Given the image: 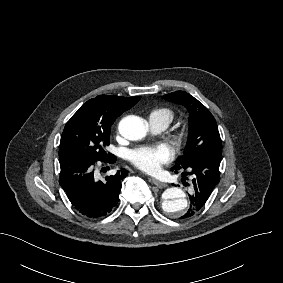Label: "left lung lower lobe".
Instances as JSON below:
<instances>
[{"instance_id":"0a47b994","label":"left lung lower lobe","mask_w":283,"mask_h":283,"mask_svg":"<svg viewBox=\"0 0 283 283\" xmlns=\"http://www.w3.org/2000/svg\"><path fill=\"white\" fill-rule=\"evenodd\" d=\"M221 156L222 154L219 153L205 154L187 167H172V170L184 169L188 171L183 173L182 182H184V179H187L185 173L191 175L192 178L193 193L189 195L191 202L190 208L187 213L181 217L182 219L193 216L207 202L214 187L220 180L219 166Z\"/></svg>"}]
</instances>
